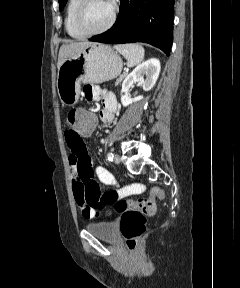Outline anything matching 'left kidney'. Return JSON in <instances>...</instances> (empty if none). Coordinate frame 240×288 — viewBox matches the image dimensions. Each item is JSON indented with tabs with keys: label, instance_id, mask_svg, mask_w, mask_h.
<instances>
[{
	"label": "left kidney",
	"instance_id": "obj_1",
	"mask_svg": "<svg viewBox=\"0 0 240 288\" xmlns=\"http://www.w3.org/2000/svg\"><path fill=\"white\" fill-rule=\"evenodd\" d=\"M160 73V61L157 58H151L138 65L122 83L121 103L124 107L133 102L143 99L142 95L131 98L129 89L136 82L140 83L144 91H149L155 85ZM144 75L146 78L144 79Z\"/></svg>",
	"mask_w": 240,
	"mask_h": 288
}]
</instances>
